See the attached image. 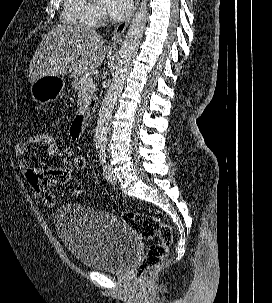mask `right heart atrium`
<instances>
[{
    "label": "right heart atrium",
    "instance_id": "1",
    "mask_svg": "<svg viewBox=\"0 0 272 303\" xmlns=\"http://www.w3.org/2000/svg\"><path fill=\"white\" fill-rule=\"evenodd\" d=\"M105 15L104 11L99 6H94L93 8V24L104 21Z\"/></svg>",
    "mask_w": 272,
    "mask_h": 303
}]
</instances>
